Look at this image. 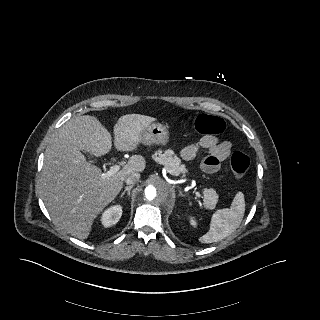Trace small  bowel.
<instances>
[{"instance_id": "obj_1", "label": "small bowel", "mask_w": 320, "mask_h": 320, "mask_svg": "<svg viewBox=\"0 0 320 320\" xmlns=\"http://www.w3.org/2000/svg\"><path fill=\"white\" fill-rule=\"evenodd\" d=\"M231 144L228 141H220L215 135H206L198 142L185 146L180 155L183 160H193L200 151L205 150L207 156L202 160L201 169L208 174L217 173L224 161L231 154Z\"/></svg>"}]
</instances>
